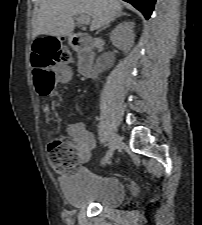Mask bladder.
<instances>
[{"label": "bladder", "mask_w": 202, "mask_h": 225, "mask_svg": "<svg viewBox=\"0 0 202 225\" xmlns=\"http://www.w3.org/2000/svg\"><path fill=\"white\" fill-rule=\"evenodd\" d=\"M63 194L73 208L98 204L117 208L127 199L123 181L106 172L82 168L62 179Z\"/></svg>", "instance_id": "1"}]
</instances>
